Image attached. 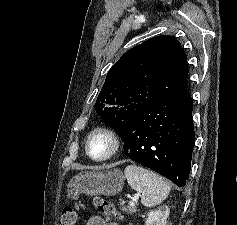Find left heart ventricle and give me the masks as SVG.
<instances>
[{"instance_id":"1","label":"left heart ventricle","mask_w":237,"mask_h":225,"mask_svg":"<svg viewBox=\"0 0 237 225\" xmlns=\"http://www.w3.org/2000/svg\"><path fill=\"white\" fill-rule=\"evenodd\" d=\"M109 148V143L104 137H97L92 141L91 152L94 156L103 155Z\"/></svg>"}]
</instances>
